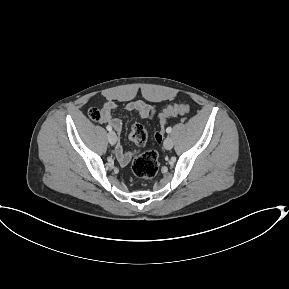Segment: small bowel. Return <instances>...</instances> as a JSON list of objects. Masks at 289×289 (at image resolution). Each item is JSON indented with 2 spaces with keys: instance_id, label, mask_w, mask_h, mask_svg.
Here are the masks:
<instances>
[{
  "instance_id": "c3829d8e",
  "label": "small bowel",
  "mask_w": 289,
  "mask_h": 289,
  "mask_svg": "<svg viewBox=\"0 0 289 289\" xmlns=\"http://www.w3.org/2000/svg\"><path fill=\"white\" fill-rule=\"evenodd\" d=\"M116 106L117 105L115 101H106L101 109L102 117L100 121L103 123H108L109 126L113 127V129L119 133L122 129V120L113 116V112L116 109ZM126 110L129 112L137 113L141 118L144 119L151 118L155 112L153 106L142 101L129 102L126 105ZM115 155L120 164L127 165L130 162L133 154L131 152H126L123 147L118 144L115 148Z\"/></svg>"
}]
</instances>
